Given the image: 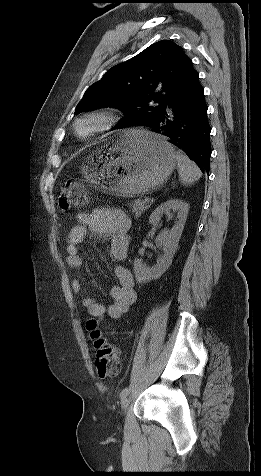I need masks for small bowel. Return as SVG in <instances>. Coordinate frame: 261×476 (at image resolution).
I'll return each instance as SVG.
<instances>
[{
	"mask_svg": "<svg viewBox=\"0 0 261 476\" xmlns=\"http://www.w3.org/2000/svg\"><path fill=\"white\" fill-rule=\"evenodd\" d=\"M79 223L74 225L67 239V266L71 269L81 268L83 261L80 255V244L89 232L99 239L110 240V257L113 261L125 260L128 250L127 233L131 228L129 216L118 209L98 208L78 215ZM117 284L110 289L112 302L104 306L90 298L83 299V305L88 314L98 320L108 316L118 319L135 303L137 295L134 289V278L129 269L117 266L114 270ZM74 294L82 292V282L74 279L71 284Z\"/></svg>",
	"mask_w": 261,
	"mask_h": 476,
	"instance_id": "small-bowel-1",
	"label": "small bowel"
}]
</instances>
